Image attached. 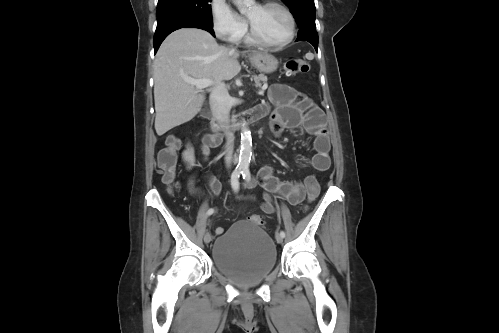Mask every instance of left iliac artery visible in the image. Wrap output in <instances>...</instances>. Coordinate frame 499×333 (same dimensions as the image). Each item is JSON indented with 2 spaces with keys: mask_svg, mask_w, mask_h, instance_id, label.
I'll return each mask as SVG.
<instances>
[{
  "mask_svg": "<svg viewBox=\"0 0 499 333\" xmlns=\"http://www.w3.org/2000/svg\"><path fill=\"white\" fill-rule=\"evenodd\" d=\"M242 176H243V179H245L246 181L250 180V170H249L248 167L243 168ZM280 235L284 238L285 237V232L281 231Z\"/></svg>",
  "mask_w": 499,
  "mask_h": 333,
  "instance_id": "44dca946",
  "label": "left iliac artery"
}]
</instances>
